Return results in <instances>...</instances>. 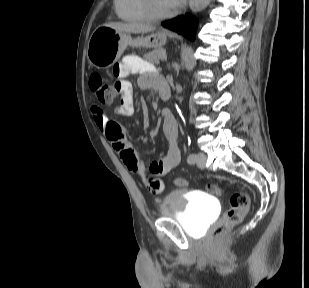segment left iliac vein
<instances>
[{"instance_id": "4c4485c4", "label": "left iliac vein", "mask_w": 309, "mask_h": 288, "mask_svg": "<svg viewBox=\"0 0 309 288\" xmlns=\"http://www.w3.org/2000/svg\"><path fill=\"white\" fill-rule=\"evenodd\" d=\"M206 159H207L206 154H204V153L197 154L196 162H197V166L200 169H204L205 168Z\"/></svg>"}]
</instances>
